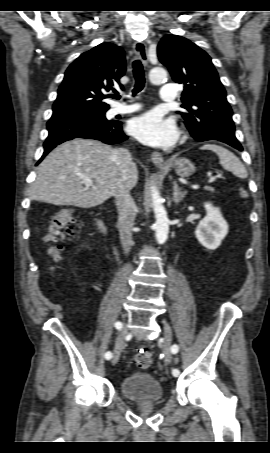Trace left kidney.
<instances>
[{
  "label": "left kidney",
  "mask_w": 270,
  "mask_h": 453,
  "mask_svg": "<svg viewBox=\"0 0 270 453\" xmlns=\"http://www.w3.org/2000/svg\"><path fill=\"white\" fill-rule=\"evenodd\" d=\"M206 217L202 219L195 230V236L202 246L216 250L228 234V224L219 208L211 203H204Z\"/></svg>",
  "instance_id": "1"
}]
</instances>
